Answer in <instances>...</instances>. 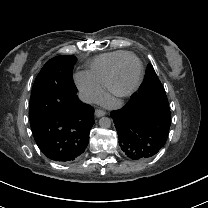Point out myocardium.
Instances as JSON below:
<instances>
[{"instance_id":"myocardium-1","label":"myocardium","mask_w":208,"mask_h":208,"mask_svg":"<svg viewBox=\"0 0 208 208\" xmlns=\"http://www.w3.org/2000/svg\"><path fill=\"white\" fill-rule=\"evenodd\" d=\"M130 59H135L138 61L139 66H140L139 76L135 84L131 88H129L128 90H118L116 88V79H117L118 72L120 68ZM143 77H144V64L142 60L136 54H130L124 57L123 59H121L120 61H118L116 65L113 67L111 74L109 76L107 85H106V89L108 93L114 97H117V98L129 97L138 90V88L142 84Z\"/></svg>"}]
</instances>
